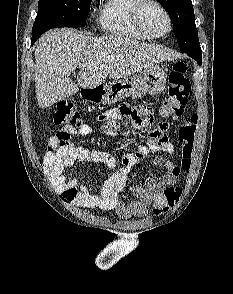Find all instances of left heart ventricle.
<instances>
[{"instance_id":"b2bd125f","label":"left heart ventricle","mask_w":233,"mask_h":294,"mask_svg":"<svg viewBox=\"0 0 233 294\" xmlns=\"http://www.w3.org/2000/svg\"><path fill=\"white\" fill-rule=\"evenodd\" d=\"M146 28L155 35L163 34L168 29V22L164 13L155 6H148L143 13Z\"/></svg>"}]
</instances>
